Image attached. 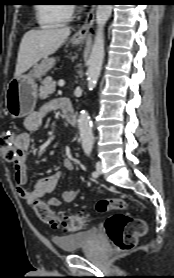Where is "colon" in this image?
Listing matches in <instances>:
<instances>
[{
    "label": "colon",
    "instance_id": "5ec220e1",
    "mask_svg": "<svg viewBox=\"0 0 174 278\" xmlns=\"http://www.w3.org/2000/svg\"><path fill=\"white\" fill-rule=\"evenodd\" d=\"M11 140L12 134L10 133L0 135V153L8 162H13L15 158ZM127 206V201L122 198H110L100 200L96 208L98 212L105 213L111 210L122 211ZM34 209L41 221L65 232L81 230L90 222V215L86 211L73 215L55 214L42 201H37ZM146 229V223L142 219L124 213L112 214L105 221L106 233L112 244L120 251L132 249L136 245L138 237L145 234Z\"/></svg>",
    "mask_w": 174,
    "mask_h": 278
}]
</instances>
